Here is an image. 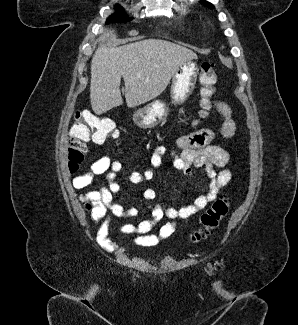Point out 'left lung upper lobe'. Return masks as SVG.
I'll return each mask as SVG.
<instances>
[{"label":"left lung upper lobe","instance_id":"obj_1","mask_svg":"<svg viewBox=\"0 0 298 325\" xmlns=\"http://www.w3.org/2000/svg\"><path fill=\"white\" fill-rule=\"evenodd\" d=\"M201 1V3H203L205 6H207V7H209V8H214V6L211 4V3H209V2H206L205 0H200Z\"/></svg>","mask_w":298,"mask_h":325}]
</instances>
